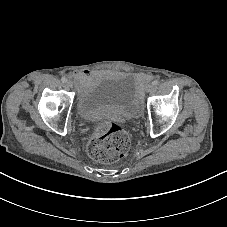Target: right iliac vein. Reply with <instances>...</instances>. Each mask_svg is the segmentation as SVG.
I'll list each match as a JSON object with an SVG mask.
<instances>
[{"label": "right iliac vein", "mask_w": 227, "mask_h": 227, "mask_svg": "<svg viewBox=\"0 0 227 227\" xmlns=\"http://www.w3.org/2000/svg\"><path fill=\"white\" fill-rule=\"evenodd\" d=\"M66 86L68 88H72L73 87V82L71 80L66 81Z\"/></svg>", "instance_id": "right-iliac-vein-1"}]
</instances>
